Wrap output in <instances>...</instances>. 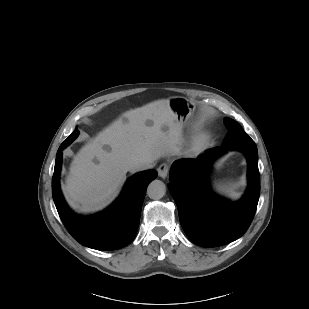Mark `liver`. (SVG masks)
I'll return each instance as SVG.
<instances>
[{"instance_id": "1", "label": "liver", "mask_w": 309, "mask_h": 309, "mask_svg": "<svg viewBox=\"0 0 309 309\" xmlns=\"http://www.w3.org/2000/svg\"><path fill=\"white\" fill-rule=\"evenodd\" d=\"M180 136L169 100L125 112L74 156L63 186L68 204L85 213L103 209L117 196L132 164L175 153Z\"/></svg>"}]
</instances>
